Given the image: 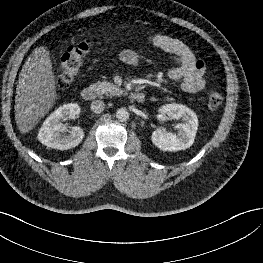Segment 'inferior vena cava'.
I'll return each instance as SVG.
<instances>
[{"label":"inferior vena cava","mask_w":263,"mask_h":263,"mask_svg":"<svg viewBox=\"0 0 263 263\" xmlns=\"http://www.w3.org/2000/svg\"><path fill=\"white\" fill-rule=\"evenodd\" d=\"M90 108L94 113H101L105 108V104L101 100H95L91 103Z\"/></svg>","instance_id":"602c4592"}]
</instances>
